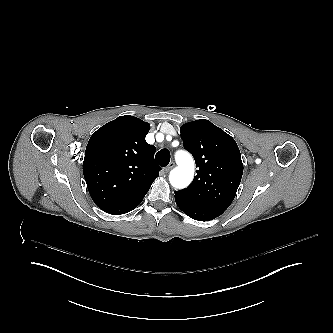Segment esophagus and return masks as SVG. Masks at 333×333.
<instances>
[{
  "instance_id": "esophagus-1",
  "label": "esophagus",
  "mask_w": 333,
  "mask_h": 333,
  "mask_svg": "<svg viewBox=\"0 0 333 333\" xmlns=\"http://www.w3.org/2000/svg\"><path fill=\"white\" fill-rule=\"evenodd\" d=\"M174 166L175 163L173 161L170 162L169 165L165 168V172L168 173Z\"/></svg>"
}]
</instances>
